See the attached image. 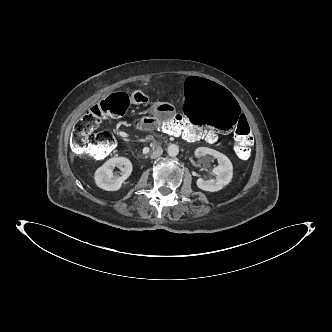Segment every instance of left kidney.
Returning a JSON list of instances; mask_svg holds the SVG:
<instances>
[{"mask_svg": "<svg viewBox=\"0 0 332 332\" xmlns=\"http://www.w3.org/2000/svg\"><path fill=\"white\" fill-rule=\"evenodd\" d=\"M196 157H203V163H209L213 158L218 160L219 165L214 167L212 172L216 175V179L204 180L199 178L196 182L197 187L204 191L216 192L228 185L233 177V165L229 158L210 148L199 147L195 151Z\"/></svg>", "mask_w": 332, "mask_h": 332, "instance_id": "left-kidney-1", "label": "left kidney"}]
</instances>
